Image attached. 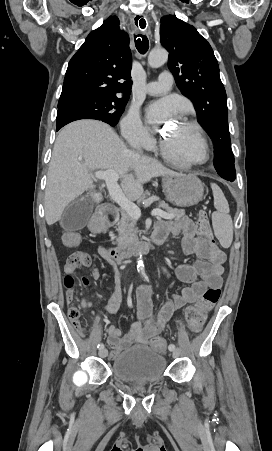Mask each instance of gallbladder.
<instances>
[{
  "label": "gallbladder",
  "instance_id": "obj_1",
  "mask_svg": "<svg viewBox=\"0 0 272 451\" xmlns=\"http://www.w3.org/2000/svg\"><path fill=\"white\" fill-rule=\"evenodd\" d=\"M94 210V202L91 198H78L72 204H69L63 212L60 220V226L64 229H82L89 222Z\"/></svg>",
  "mask_w": 272,
  "mask_h": 451
}]
</instances>
